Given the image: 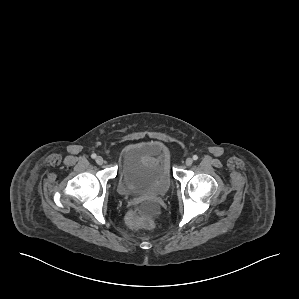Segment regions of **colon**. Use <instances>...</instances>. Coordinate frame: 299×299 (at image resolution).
I'll return each instance as SVG.
<instances>
[{"label":"colon","instance_id":"obj_1","mask_svg":"<svg viewBox=\"0 0 299 299\" xmlns=\"http://www.w3.org/2000/svg\"><path fill=\"white\" fill-rule=\"evenodd\" d=\"M126 222L131 227H146L151 228L153 226V220L151 217L142 214L139 210H132L126 217Z\"/></svg>","mask_w":299,"mask_h":299}]
</instances>
